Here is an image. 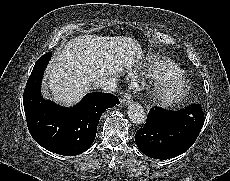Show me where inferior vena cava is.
<instances>
[{
    "label": "inferior vena cava",
    "instance_id": "obj_1",
    "mask_svg": "<svg viewBox=\"0 0 230 181\" xmlns=\"http://www.w3.org/2000/svg\"><path fill=\"white\" fill-rule=\"evenodd\" d=\"M93 87L104 92L114 93L117 91V80L113 77L104 76L93 82Z\"/></svg>",
    "mask_w": 230,
    "mask_h": 181
}]
</instances>
